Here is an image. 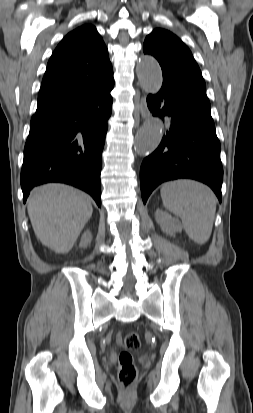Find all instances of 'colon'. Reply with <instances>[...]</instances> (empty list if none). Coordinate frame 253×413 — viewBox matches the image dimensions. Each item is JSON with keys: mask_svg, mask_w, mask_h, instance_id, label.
I'll return each mask as SVG.
<instances>
[{"mask_svg": "<svg viewBox=\"0 0 253 413\" xmlns=\"http://www.w3.org/2000/svg\"><path fill=\"white\" fill-rule=\"evenodd\" d=\"M124 346L125 350L121 351L118 357V381L123 391L129 393L138 375L129 350H135L140 347L139 335L136 332H128L124 337Z\"/></svg>", "mask_w": 253, "mask_h": 413, "instance_id": "colon-1", "label": "colon"}]
</instances>
